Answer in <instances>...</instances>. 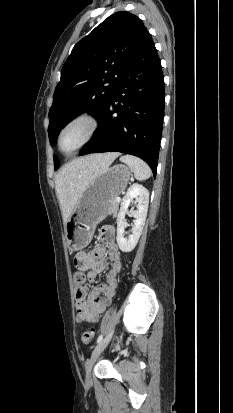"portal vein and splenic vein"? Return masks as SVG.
Masks as SVG:
<instances>
[{
    "mask_svg": "<svg viewBox=\"0 0 233 413\" xmlns=\"http://www.w3.org/2000/svg\"><path fill=\"white\" fill-rule=\"evenodd\" d=\"M115 201H116V202H120V201H121V198H120V197H116V198H115Z\"/></svg>",
    "mask_w": 233,
    "mask_h": 413,
    "instance_id": "18ae733b",
    "label": "portal vein and splenic vein"
}]
</instances>
